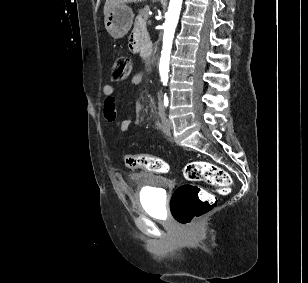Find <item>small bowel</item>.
Segmentation results:
<instances>
[{"label":"small bowel","mask_w":308,"mask_h":283,"mask_svg":"<svg viewBox=\"0 0 308 283\" xmlns=\"http://www.w3.org/2000/svg\"><path fill=\"white\" fill-rule=\"evenodd\" d=\"M145 35H147L145 21L141 17H138L136 18L133 31L129 37L128 41L129 50L134 53H138L140 51L141 38ZM131 81L133 84L140 83L142 81V74L136 73L135 75H133ZM103 94L105 96L104 110H103L104 118L108 122L116 124V126L121 132L128 133L132 121L129 118L118 120L113 86L110 84H105L103 86ZM143 117H144V109L142 107H139L136 111L135 122L137 123L141 121Z\"/></svg>","instance_id":"c3829d8e"}]
</instances>
